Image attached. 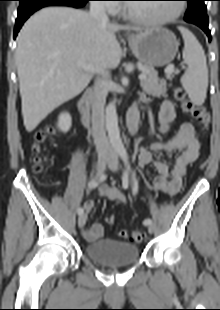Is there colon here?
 <instances>
[{
  "label": "colon",
  "instance_id": "1",
  "mask_svg": "<svg viewBox=\"0 0 220 310\" xmlns=\"http://www.w3.org/2000/svg\"><path fill=\"white\" fill-rule=\"evenodd\" d=\"M175 98L181 103L182 109L190 114L201 126L203 129H207L210 122V114L207 109L200 104H196L191 101L186 91L178 87L174 91ZM55 132L53 127H47L43 130H40L36 133L35 141L32 148V152L34 154V170L36 172H40L43 167V158L40 156V143H42L47 137L52 135ZM108 224H113L115 222V216L110 215L106 218ZM119 236L121 238H130L134 242H141L144 239V234L139 231H128V230H121L119 232Z\"/></svg>",
  "mask_w": 220,
  "mask_h": 310
}]
</instances>
